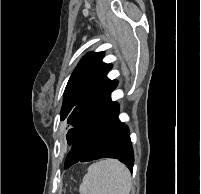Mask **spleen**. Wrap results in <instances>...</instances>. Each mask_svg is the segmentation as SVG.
Here are the masks:
<instances>
[{
	"label": "spleen",
	"instance_id": "spleen-1",
	"mask_svg": "<svg viewBox=\"0 0 201 194\" xmlns=\"http://www.w3.org/2000/svg\"><path fill=\"white\" fill-rule=\"evenodd\" d=\"M131 175L115 159L100 160L88 168L79 187L80 194H130Z\"/></svg>",
	"mask_w": 201,
	"mask_h": 194
}]
</instances>
